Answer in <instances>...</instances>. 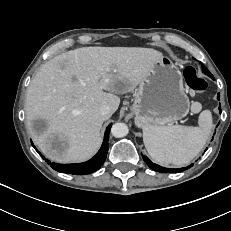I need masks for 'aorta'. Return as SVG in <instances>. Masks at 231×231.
<instances>
[{"label":"aorta","mask_w":231,"mask_h":231,"mask_svg":"<svg viewBox=\"0 0 231 231\" xmlns=\"http://www.w3.org/2000/svg\"><path fill=\"white\" fill-rule=\"evenodd\" d=\"M128 131V126L125 123H115L111 128V133L116 138L125 137Z\"/></svg>","instance_id":"762f6f07"}]
</instances>
